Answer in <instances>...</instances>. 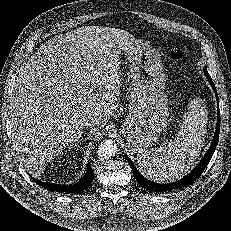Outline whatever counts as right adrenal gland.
I'll use <instances>...</instances> for the list:
<instances>
[{
  "mask_svg": "<svg viewBox=\"0 0 231 231\" xmlns=\"http://www.w3.org/2000/svg\"><path fill=\"white\" fill-rule=\"evenodd\" d=\"M82 136V135H81ZM81 136H79L77 139H76V141L73 143V145H75L76 146V144H78L79 143V139L81 138Z\"/></svg>",
  "mask_w": 231,
  "mask_h": 231,
  "instance_id": "2a0ac1e0",
  "label": "right adrenal gland"
}]
</instances>
